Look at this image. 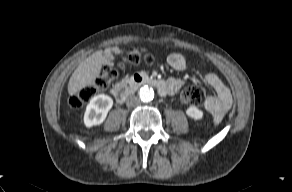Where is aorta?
<instances>
[{
	"instance_id": "aorta-1",
	"label": "aorta",
	"mask_w": 292,
	"mask_h": 192,
	"mask_svg": "<svg viewBox=\"0 0 292 192\" xmlns=\"http://www.w3.org/2000/svg\"><path fill=\"white\" fill-rule=\"evenodd\" d=\"M139 97L144 102H150L154 98V91L151 87L145 85L140 88Z\"/></svg>"
}]
</instances>
